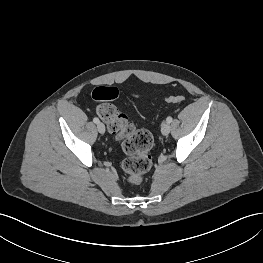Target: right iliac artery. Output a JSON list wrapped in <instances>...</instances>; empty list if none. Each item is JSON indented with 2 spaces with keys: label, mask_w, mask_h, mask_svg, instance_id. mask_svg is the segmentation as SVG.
Listing matches in <instances>:
<instances>
[{
  "label": "right iliac artery",
  "mask_w": 263,
  "mask_h": 263,
  "mask_svg": "<svg viewBox=\"0 0 263 263\" xmlns=\"http://www.w3.org/2000/svg\"><path fill=\"white\" fill-rule=\"evenodd\" d=\"M93 122L98 124L99 123V119L97 117L93 118Z\"/></svg>",
  "instance_id": "1"
}]
</instances>
